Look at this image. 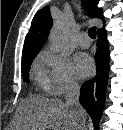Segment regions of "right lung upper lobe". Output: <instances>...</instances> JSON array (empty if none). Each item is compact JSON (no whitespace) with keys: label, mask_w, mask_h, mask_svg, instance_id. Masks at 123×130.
<instances>
[{"label":"right lung upper lobe","mask_w":123,"mask_h":130,"mask_svg":"<svg viewBox=\"0 0 123 130\" xmlns=\"http://www.w3.org/2000/svg\"><path fill=\"white\" fill-rule=\"evenodd\" d=\"M98 0H82L84 8L93 18L102 19V10L96 7ZM53 23L49 7L39 10L31 23L30 30L26 36L23 48V56L37 54L48 38L50 27ZM104 28V27H103Z\"/></svg>","instance_id":"1"}]
</instances>
